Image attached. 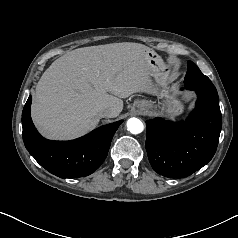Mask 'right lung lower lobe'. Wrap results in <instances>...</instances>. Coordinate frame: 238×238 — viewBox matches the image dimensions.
<instances>
[{
    "label": "right lung lower lobe",
    "mask_w": 238,
    "mask_h": 238,
    "mask_svg": "<svg viewBox=\"0 0 238 238\" xmlns=\"http://www.w3.org/2000/svg\"><path fill=\"white\" fill-rule=\"evenodd\" d=\"M31 96L23 112V141L29 153L50 173L61 178H78L92 174L105 160L118 121L104 125L71 141H51L36 130L30 117Z\"/></svg>",
    "instance_id": "right-lung-lower-lobe-1"
}]
</instances>
